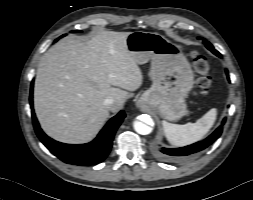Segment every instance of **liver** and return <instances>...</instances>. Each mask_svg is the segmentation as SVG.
<instances>
[{
  "label": "liver",
  "instance_id": "1",
  "mask_svg": "<svg viewBox=\"0 0 253 200\" xmlns=\"http://www.w3.org/2000/svg\"><path fill=\"white\" fill-rule=\"evenodd\" d=\"M131 32H98L91 40L68 37L43 56L34 86V108L43 130L65 143H85L101 129L109 111H119L127 91L143 75L128 51ZM114 99L111 109L106 98Z\"/></svg>",
  "mask_w": 253,
  "mask_h": 200
}]
</instances>
